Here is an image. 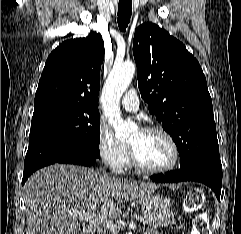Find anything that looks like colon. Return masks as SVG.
<instances>
[{"label": "colon", "instance_id": "5ec220e1", "mask_svg": "<svg viewBox=\"0 0 241 234\" xmlns=\"http://www.w3.org/2000/svg\"><path fill=\"white\" fill-rule=\"evenodd\" d=\"M204 202L201 190L194 189L189 192L185 199L184 208L189 213H198ZM191 234H208L207 221L203 214L198 213L193 219Z\"/></svg>", "mask_w": 241, "mask_h": 234}]
</instances>
